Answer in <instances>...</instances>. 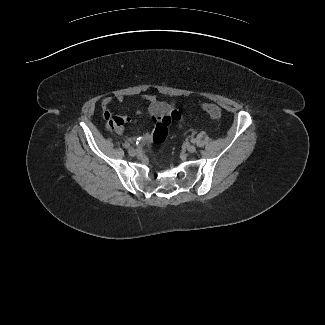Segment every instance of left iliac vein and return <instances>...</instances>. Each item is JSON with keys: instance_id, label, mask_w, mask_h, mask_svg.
I'll list each match as a JSON object with an SVG mask.
<instances>
[{"instance_id": "4c4485c4", "label": "left iliac vein", "mask_w": 325, "mask_h": 325, "mask_svg": "<svg viewBox=\"0 0 325 325\" xmlns=\"http://www.w3.org/2000/svg\"><path fill=\"white\" fill-rule=\"evenodd\" d=\"M187 150H188V152H190V153H194V152L196 151V147H195L194 145H192V144H189V145L187 146Z\"/></svg>"}]
</instances>
